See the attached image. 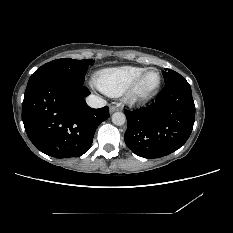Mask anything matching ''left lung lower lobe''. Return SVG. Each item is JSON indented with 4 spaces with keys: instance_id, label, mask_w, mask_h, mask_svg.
I'll use <instances>...</instances> for the list:
<instances>
[{
    "instance_id": "0a47b994",
    "label": "left lung lower lobe",
    "mask_w": 233,
    "mask_h": 233,
    "mask_svg": "<svg viewBox=\"0 0 233 233\" xmlns=\"http://www.w3.org/2000/svg\"><path fill=\"white\" fill-rule=\"evenodd\" d=\"M124 113L128 148L144 158L166 156L179 149L192 132L195 105L191 87L182 76L176 77L151 105Z\"/></svg>"
}]
</instances>
